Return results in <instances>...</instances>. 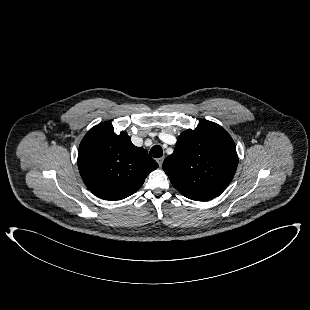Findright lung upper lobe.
Returning a JSON list of instances; mask_svg holds the SVG:
<instances>
[{
	"label": "right lung upper lobe",
	"instance_id": "cb5924a9",
	"mask_svg": "<svg viewBox=\"0 0 310 310\" xmlns=\"http://www.w3.org/2000/svg\"><path fill=\"white\" fill-rule=\"evenodd\" d=\"M157 167L145 149L132 144L125 131L115 134L110 122L91 128L79 146L81 177L87 188L104 200H121L132 195Z\"/></svg>",
	"mask_w": 310,
	"mask_h": 310
}]
</instances>
